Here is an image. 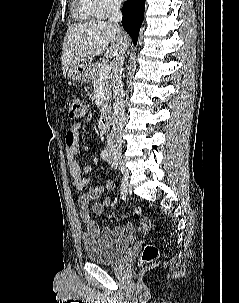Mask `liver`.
Wrapping results in <instances>:
<instances>
[{
    "label": "liver",
    "instance_id": "6515ba94",
    "mask_svg": "<svg viewBox=\"0 0 239 303\" xmlns=\"http://www.w3.org/2000/svg\"><path fill=\"white\" fill-rule=\"evenodd\" d=\"M110 44V47L108 48ZM130 46L129 37L109 22L90 20L69 26L62 46V71L66 75L69 67L87 58L105 53L115 57L119 51L125 52Z\"/></svg>",
    "mask_w": 239,
    "mask_h": 303
}]
</instances>
